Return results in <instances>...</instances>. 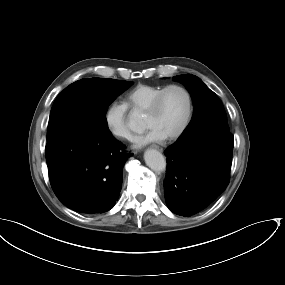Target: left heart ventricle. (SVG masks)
I'll return each instance as SVG.
<instances>
[{
	"mask_svg": "<svg viewBox=\"0 0 285 285\" xmlns=\"http://www.w3.org/2000/svg\"><path fill=\"white\" fill-rule=\"evenodd\" d=\"M186 109L185 94L179 89H170L163 96L160 107L155 113H144V125L155 129L163 137L172 134L182 123Z\"/></svg>",
	"mask_w": 285,
	"mask_h": 285,
	"instance_id": "1",
	"label": "left heart ventricle"
}]
</instances>
